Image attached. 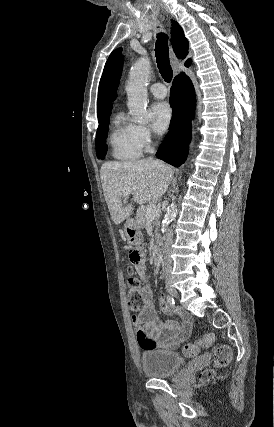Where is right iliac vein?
Returning a JSON list of instances; mask_svg holds the SVG:
<instances>
[{"instance_id":"obj_1","label":"right iliac vein","mask_w":274,"mask_h":427,"mask_svg":"<svg viewBox=\"0 0 274 427\" xmlns=\"http://www.w3.org/2000/svg\"><path fill=\"white\" fill-rule=\"evenodd\" d=\"M167 290H168V292H169L172 296H174V297L178 298V293H177L176 289H174V288L170 285V283H168V284H167Z\"/></svg>"}]
</instances>
